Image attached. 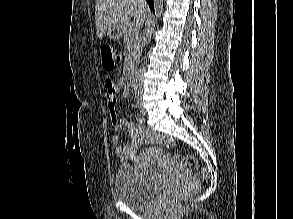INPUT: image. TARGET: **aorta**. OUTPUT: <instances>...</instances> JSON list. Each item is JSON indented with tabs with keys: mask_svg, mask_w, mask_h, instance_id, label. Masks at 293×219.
<instances>
[{
	"mask_svg": "<svg viewBox=\"0 0 293 219\" xmlns=\"http://www.w3.org/2000/svg\"><path fill=\"white\" fill-rule=\"evenodd\" d=\"M154 9H155V20L160 18L163 12V0H154Z\"/></svg>",
	"mask_w": 293,
	"mask_h": 219,
	"instance_id": "762f6f07",
	"label": "aorta"
}]
</instances>
